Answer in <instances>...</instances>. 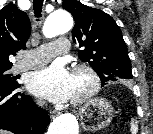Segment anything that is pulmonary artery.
<instances>
[{
	"instance_id": "e3ab8cb5",
	"label": "pulmonary artery",
	"mask_w": 153,
	"mask_h": 134,
	"mask_svg": "<svg viewBox=\"0 0 153 134\" xmlns=\"http://www.w3.org/2000/svg\"><path fill=\"white\" fill-rule=\"evenodd\" d=\"M70 42L67 38L61 37L52 43L43 44L23 54L14 69L16 72L29 70L51 61L55 56L65 54L69 51Z\"/></svg>"
}]
</instances>
